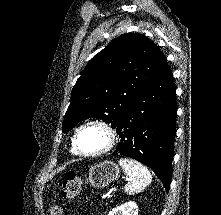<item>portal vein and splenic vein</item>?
Returning a JSON list of instances; mask_svg holds the SVG:
<instances>
[{"instance_id":"18ae733b","label":"portal vein and splenic vein","mask_w":221,"mask_h":215,"mask_svg":"<svg viewBox=\"0 0 221 215\" xmlns=\"http://www.w3.org/2000/svg\"><path fill=\"white\" fill-rule=\"evenodd\" d=\"M114 191H116V189L114 188V189H112V191H111V193H113ZM111 193H109L107 196L108 197H111L112 195H111Z\"/></svg>"}]
</instances>
